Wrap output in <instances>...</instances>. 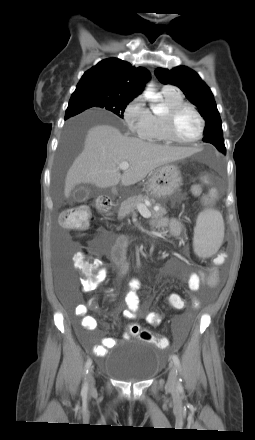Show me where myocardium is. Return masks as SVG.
<instances>
[{
    "instance_id": "f54148a6",
    "label": "myocardium",
    "mask_w": 255,
    "mask_h": 440,
    "mask_svg": "<svg viewBox=\"0 0 255 440\" xmlns=\"http://www.w3.org/2000/svg\"><path fill=\"white\" fill-rule=\"evenodd\" d=\"M184 110H191L199 120V131L198 134L190 140H181L175 134L174 124L177 116ZM162 123L165 132V136L169 142L180 144V145H190L198 142L204 134L205 120L201 113L191 104L181 103L176 106L167 108L162 114Z\"/></svg>"
}]
</instances>
